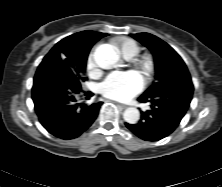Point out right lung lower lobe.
<instances>
[{"instance_id": "right-lung-lower-lobe-1", "label": "right lung lower lobe", "mask_w": 222, "mask_h": 187, "mask_svg": "<svg viewBox=\"0 0 222 187\" xmlns=\"http://www.w3.org/2000/svg\"><path fill=\"white\" fill-rule=\"evenodd\" d=\"M80 81L60 60L39 66L34 77L32 99L43 127L61 139H73L88 129L98 116L102 102L86 105L79 97L89 99Z\"/></svg>"}]
</instances>
